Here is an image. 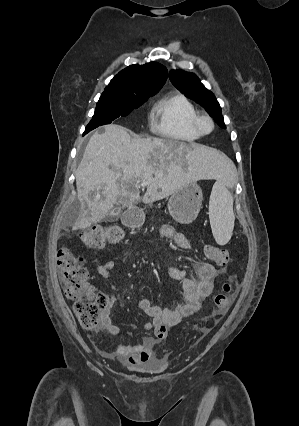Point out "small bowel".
Listing matches in <instances>:
<instances>
[{"label": "small bowel", "instance_id": "obj_1", "mask_svg": "<svg viewBox=\"0 0 299 426\" xmlns=\"http://www.w3.org/2000/svg\"><path fill=\"white\" fill-rule=\"evenodd\" d=\"M160 233L163 238L173 240L178 247L189 248L186 236L172 226L164 225ZM115 269L116 264L111 260L96 266L97 273L105 279H110ZM193 272L194 277H188L184 270L175 267L169 269V275L180 281L183 287L184 301L175 308L153 305L147 298L138 300L140 309L151 318L142 327L145 331H154V336H145L139 343L116 346L111 351L101 350L100 353L108 358H116L127 366L154 359L155 347L166 338L168 329L198 311L202 302L212 293L214 280L220 273L213 265L204 262L197 263ZM111 289L115 290L116 287L111 285ZM115 301L116 297L112 296L102 309L99 318L101 327L112 335H130L131 332L123 330L112 321L111 308Z\"/></svg>", "mask_w": 299, "mask_h": 426}]
</instances>
